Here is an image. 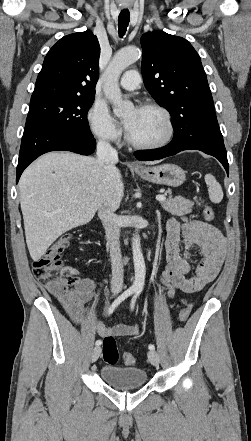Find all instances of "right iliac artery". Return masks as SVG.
Instances as JSON below:
<instances>
[{
  "label": "right iliac artery",
  "mask_w": 251,
  "mask_h": 441,
  "mask_svg": "<svg viewBox=\"0 0 251 441\" xmlns=\"http://www.w3.org/2000/svg\"><path fill=\"white\" fill-rule=\"evenodd\" d=\"M135 292L134 288H128L126 291H124L120 296H118L114 302L111 304V306L108 309V314L111 315L113 311L118 307V305L124 301L126 298H128L130 295H132ZM102 343L101 340L96 341V346H100Z\"/></svg>",
  "instance_id": "obj_1"
}]
</instances>
